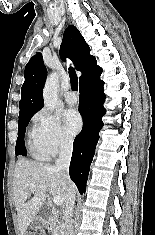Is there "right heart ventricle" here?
Returning <instances> with one entry per match:
<instances>
[{"label":"right heart ventricle","mask_w":155,"mask_h":235,"mask_svg":"<svg viewBox=\"0 0 155 235\" xmlns=\"http://www.w3.org/2000/svg\"><path fill=\"white\" fill-rule=\"evenodd\" d=\"M29 149L30 152L32 154V156L35 159L38 160H45L47 159L49 156L41 149V147L37 144V142L35 141L33 135L31 136L30 140H29Z\"/></svg>","instance_id":"obj_1"}]
</instances>
